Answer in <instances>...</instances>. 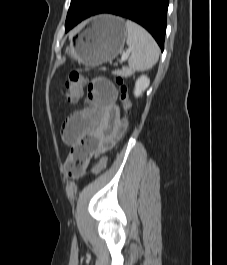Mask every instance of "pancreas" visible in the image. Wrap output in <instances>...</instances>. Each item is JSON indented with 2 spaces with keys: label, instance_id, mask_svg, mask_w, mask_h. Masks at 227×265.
<instances>
[{
  "label": "pancreas",
  "instance_id": "obj_1",
  "mask_svg": "<svg viewBox=\"0 0 227 265\" xmlns=\"http://www.w3.org/2000/svg\"><path fill=\"white\" fill-rule=\"evenodd\" d=\"M114 74L121 77H129L132 74V72L128 68L123 67L121 70L115 71Z\"/></svg>",
  "mask_w": 227,
  "mask_h": 265
}]
</instances>
